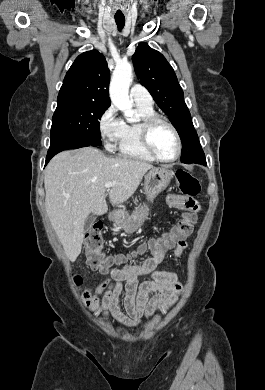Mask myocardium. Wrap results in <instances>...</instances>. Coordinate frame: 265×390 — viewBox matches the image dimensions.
Returning <instances> with one entry per match:
<instances>
[{"mask_svg": "<svg viewBox=\"0 0 265 390\" xmlns=\"http://www.w3.org/2000/svg\"><path fill=\"white\" fill-rule=\"evenodd\" d=\"M162 123L170 128L177 143L176 154L171 159H164L157 154L151 143V131L156 124ZM140 140L145 151L155 160L163 163H172L178 160L182 151V141L177 128L167 119L157 114H151L140 119L138 123Z\"/></svg>", "mask_w": 265, "mask_h": 390, "instance_id": "f54148a6", "label": "myocardium"}]
</instances>
